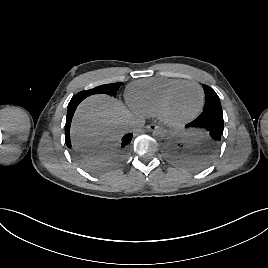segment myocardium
I'll use <instances>...</instances> for the list:
<instances>
[{
    "instance_id": "1",
    "label": "myocardium",
    "mask_w": 268,
    "mask_h": 268,
    "mask_svg": "<svg viewBox=\"0 0 268 268\" xmlns=\"http://www.w3.org/2000/svg\"><path fill=\"white\" fill-rule=\"evenodd\" d=\"M186 86H195L198 88L199 92H200V100L198 103V106L196 107V109L189 115L182 117V118H172L168 115V106L172 100V98L174 97V95L182 88L186 87ZM204 103V90L203 88L196 82H192V81H185L181 84L176 85L175 87H173L171 90H169V92L165 95V97L163 98L160 108H159V112H158V117L159 119L172 127H180L183 126L184 124L192 121L200 112V110L202 109Z\"/></svg>"
}]
</instances>
